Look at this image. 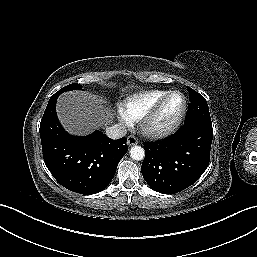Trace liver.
Returning <instances> with one entry per match:
<instances>
[{"label": "liver", "mask_w": 257, "mask_h": 257, "mask_svg": "<svg viewBox=\"0 0 257 257\" xmlns=\"http://www.w3.org/2000/svg\"><path fill=\"white\" fill-rule=\"evenodd\" d=\"M103 103L89 92H66L58 98L57 115L67 132L86 135L111 121L112 114Z\"/></svg>", "instance_id": "6515ba94"}]
</instances>
